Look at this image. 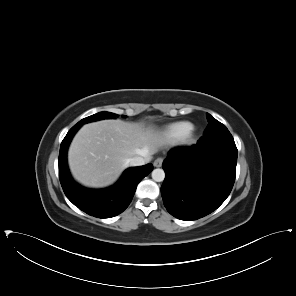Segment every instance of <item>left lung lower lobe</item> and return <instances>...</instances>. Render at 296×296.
<instances>
[{"label":"left lung lower lobe","mask_w":296,"mask_h":296,"mask_svg":"<svg viewBox=\"0 0 296 296\" xmlns=\"http://www.w3.org/2000/svg\"><path fill=\"white\" fill-rule=\"evenodd\" d=\"M236 145L208 147L201 138L190 147L170 150L162 167L161 194L168 212L196 220L216 210L230 194L236 173Z\"/></svg>","instance_id":"obj_1"}]
</instances>
